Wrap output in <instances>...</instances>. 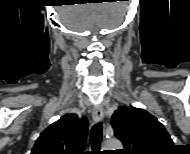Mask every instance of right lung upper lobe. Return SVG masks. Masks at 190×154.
I'll list each match as a JSON object with an SVG mask.
<instances>
[{"label":"right lung upper lobe","mask_w":190,"mask_h":154,"mask_svg":"<svg viewBox=\"0 0 190 154\" xmlns=\"http://www.w3.org/2000/svg\"><path fill=\"white\" fill-rule=\"evenodd\" d=\"M85 117L70 113L46 128L37 139L31 154H81L87 137Z\"/></svg>","instance_id":"1"}]
</instances>
